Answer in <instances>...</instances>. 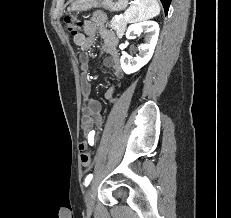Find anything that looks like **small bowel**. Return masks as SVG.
<instances>
[{
	"instance_id": "obj_1",
	"label": "small bowel",
	"mask_w": 231,
	"mask_h": 218,
	"mask_svg": "<svg viewBox=\"0 0 231 218\" xmlns=\"http://www.w3.org/2000/svg\"><path fill=\"white\" fill-rule=\"evenodd\" d=\"M106 16L102 11L93 12L84 23V33L74 36L73 42L76 46L89 50L95 42L97 35L100 36L102 41V48L108 54L103 60L102 67L113 71L117 79L123 77L120 59L116 50L117 38L113 32L104 28ZM80 68L82 76L80 79L81 95L84 100L82 107L81 127L84 133L91 131L96 125L101 126V104L91 96V86L85 74L89 69V58L83 54L80 56ZM115 83L104 93V99L112 104L116 102L114 96ZM120 87V85H118ZM94 143L97 140L95 135Z\"/></svg>"
}]
</instances>
